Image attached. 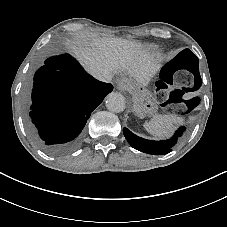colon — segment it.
<instances>
[{"label": "colon", "instance_id": "1", "mask_svg": "<svg viewBox=\"0 0 227 227\" xmlns=\"http://www.w3.org/2000/svg\"><path fill=\"white\" fill-rule=\"evenodd\" d=\"M199 84L198 59L192 52L184 50L162 67L156 87L164 107L172 109L184 103L186 109L190 110L198 104L199 99H184V96L195 91Z\"/></svg>", "mask_w": 227, "mask_h": 227}]
</instances>
